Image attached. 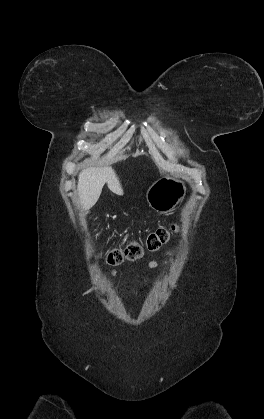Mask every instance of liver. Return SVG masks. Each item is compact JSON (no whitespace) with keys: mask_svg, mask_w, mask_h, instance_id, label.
Here are the masks:
<instances>
[{"mask_svg":"<svg viewBox=\"0 0 264 419\" xmlns=\"http://www.w3.org/2000/svg\"><path fill=\"white\" fill-rule=\"evenodd\" d=\"M117 194L123 195V189L112 167H89L78 176V195L80 205L89 209L96 204L104 184Z\"/></svg>","mask_w":264,"mask_h":419,"instance_id":"obj_1","label":"liver"}]
</instances>
